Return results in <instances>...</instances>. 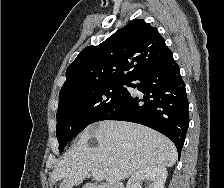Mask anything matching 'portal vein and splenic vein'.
<instances>
[{
    "label": "portal vein and splenic vein",
    "instance_id": "1",
    "mask_svg": "<svg viewBox=\"0 0 224 188\" xmlns=\"http://www.w3.org/2000/svg\"><path fill=\"white\" fill-rule=\"evenodd\" d=\"M91 173L93 175V177L95 178L96 181H103L104 180V173L96 168H92Z\"/></svg>",
    "mask_w": 224,
    "mask_h": 188
}]
</instances>
